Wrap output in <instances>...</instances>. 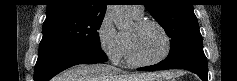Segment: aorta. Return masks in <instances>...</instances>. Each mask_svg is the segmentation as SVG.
<instances>
[{
    "instance_id": "762f6f07",
    "label": "aorta",
    "mask_w": 237,
    "mask_h": 81,
    "mask_svg": "<svg viewBox=\"0 0 237 81\" xmlns=\"http://www.w3.org/2000/svg\"><path fill=\"white\" fill-rule=\"evenodd\" d=\"M107 13L118 30H124L132 24V18L125 5H108Z\"/></svg>"
}]
</instances>
